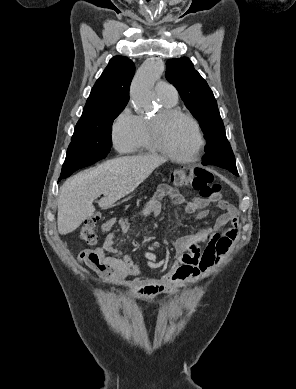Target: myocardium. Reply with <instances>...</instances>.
Returning a JSON list of instances; mask_svg holds the SVG:
<instances>
[{"instance_id":"f54148a6","label":"myocardium","mask_w":296,"mask_h":389,"mask_svg":"<svg viewBox=\"0 0 296 389\" xmlns=\"http://www.w3.org/2000/svg\"><path fill=\"white\" fill-rule=\"evenodd\" d=\"M185 118L189 120L195 128L197 134V145L193 153L189 156H178L174 154L165 144L164 129L166 124L175 118ZM149 135L154 149L168 158L180 162L191 163L196 161L205 146V138L201 126L197 119L191 114L177 108H162L159 113L149 119Z\"/></svg>"}]
</instances>
